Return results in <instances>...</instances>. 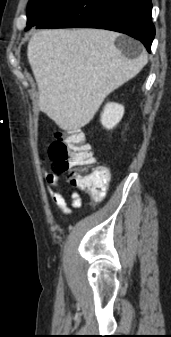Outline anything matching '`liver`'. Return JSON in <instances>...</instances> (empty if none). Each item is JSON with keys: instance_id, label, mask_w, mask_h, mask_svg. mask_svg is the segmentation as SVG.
Segmentation results:
<instances>
[{"instance_id": "obj_1", "label": "liver", "mask_w": 171, "mask_h": 337, "mask_svg": "<svg viewBox=\"0 0 171 337\" xmlns=\"http://www.w3.org/2000/svg\"><path fill=\"white\" fill-rule=\"evenodd\" d=\"M118 36L99 29H49L31 37L27 57L39 107L62 130L87 125L106 96L147 64L145 51L126 58L115 46Z\"/></svg>"}]
</instances>
